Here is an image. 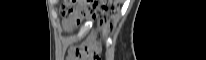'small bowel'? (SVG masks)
Wrapping results in <instances>:
<instances>
[{"label": "small bowel", "instance_id": "c3829d8e", "mask_svg": "<svg viewBox=\"0 0 206 60\" xmlns=\"http://www.w3.org/2000/svg\"><path fill=\"white\" fill-rule=\"evenodd\" d=\"M72 25L66 24V29H70ZM69 60H80L78 56L75 54V49H71L68 55Z\"/></svg>", "mask_w": 206, "mask_h": 60}]
</instances>
